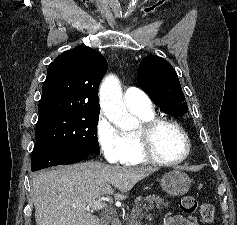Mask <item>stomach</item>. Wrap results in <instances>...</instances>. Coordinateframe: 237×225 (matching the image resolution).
Wrapping results in <instances>:
<instances>
[{
  "mask_svg": "<svg viewBox=\"0 0 237 225\" xmlns=\"http://www.w3.org/2000/svg\"><path fill=\"white\" fill-rule=\"evenodd\" d=\"M192 180L180 170H172L164 174L160 184L162 189L171 196H180L187 193L191 187Z\"/></svg>",
  "mask_w": 237,
  "mask_h": 225,
  "instance_id": "0dacf381",
  "label": "stomach"
}]
</instances>
